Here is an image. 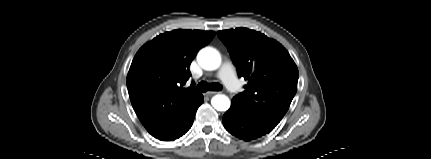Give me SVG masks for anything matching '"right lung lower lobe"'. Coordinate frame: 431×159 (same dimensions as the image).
Masks as SVG:
<instances>
[{
  "label": "right lung lower lobe",
  "mask_w": 431,
  "mask_h": 159,
  "mask_svg": "<svg viewBox=\"0 0 431 159\" xmlns=\"http://www.w3.org/2000/svg\"><path fill=\"white\" fill-rule=\"evenodd\" d=\"M203 101V95H198L186 106L178 118L156 138L162 141H173L184 135L191 128L196 111Z\"/></svg>",
  "instance_id": "1"
}]
</instances>
